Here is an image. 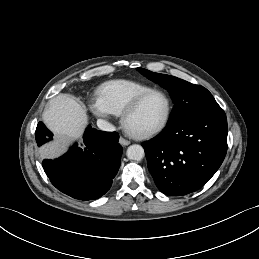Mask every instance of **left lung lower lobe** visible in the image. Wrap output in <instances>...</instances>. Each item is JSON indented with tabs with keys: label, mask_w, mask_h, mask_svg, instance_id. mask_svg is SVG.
<instances>
[{
	"label": "left lung lower lobe",
	"mask_w": 259,
	"mask_h": 259,
	"mask_svg": "<svg viewBox=\"0 0 259 259\" xmlns=\"http://www.w3.org/2000/svg\"><path fill=\"white\" fill-rule=\"evenodd\" d=\"M227 119L223 109L209 111L166 128L142 146L156 186L171 196L203 187L227 152Z\"/></svg>",
	"instance_id": "left-lung-lower-lobe-1"
}]
</instances>
